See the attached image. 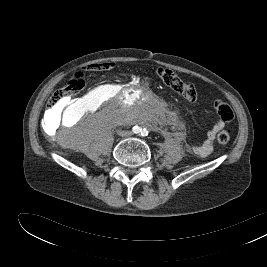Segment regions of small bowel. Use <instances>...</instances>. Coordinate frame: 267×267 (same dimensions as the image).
<instances>
[{
	"label": "small bowel",
	"instance_id": "obj_1",
	"mask_svg": "<svg viewBox=\"0 0 267 267\" xmlns=\"http://www.w3.org/2000/svg\"><path fill=\"white\" fill-rule=\"evenodd\" d=\"M94 65H92L90 68L93 69ZM75 105H69L64 106L60 105L55 108H53L50 111V115L54 118L63 116L67 111L74 112ZM225 123L222 120H218L212 128L208 131L206 139L199 145L191 146L192 152H194L196 155L201 157H206L209 154H211L213 150V142L215 139V136L219 130H221L224 127Z\"/></svg>",
	"mask_w": 267,
	"mask_h": 267
}]
</instances>
